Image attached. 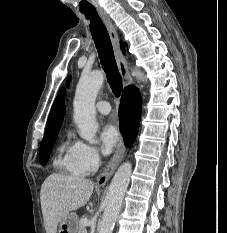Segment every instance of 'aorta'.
<instances>
[{"instance_id": "762f6f07", "label": "aorta", "mask_w": 227, "mask_h": 233, "mask_svg": "<svg viewBox=\"0 0 227 233\" xmlns=\"http://www.w3.org/2000/svg\"><path fill=\"white\" fill-rule=\"evenodd\" d=\"M133 75L140 80H144L143 74L140 71H133ZM103 82L104 75L101 71L83 74L78 82L73 102L74 121L79 128V135L91 144L95 143V136L98 129L95 100ZM131 172V163L125 162L115 173L105 199V210L99 233H112L130 182Z\"/></svg>"}]
</instances>
